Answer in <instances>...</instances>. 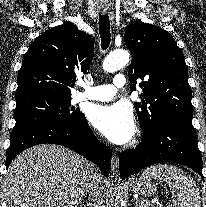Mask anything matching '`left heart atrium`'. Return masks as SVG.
<instances>
[{
	"mask_svg": "<svg viewBox=\"0 0 206 207\" xmlns=\"http://www.w3.org/2000/svg\"><path fill=\"white\" fill-rule=\"evenodd\" d=\"M90 121L108 140L115 144L129 142L135 134V119L124 103L95 106Z\"/></svg>",
	"mask_w": 206,
	"mask_h": 207,
	"instance_id": "39dd6f15",
	"label": "left heart atrium"
}]
</instances>
